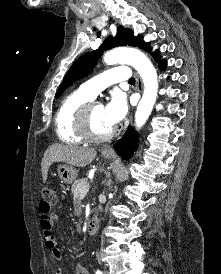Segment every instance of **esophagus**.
Here are the masks:
<instances>
[{"mask_svg":"<svg viewBox=\"0 0 221 274\" xmlns=\"http://www.w3.org/2000/svg\"><path fill=\"white\" fill-rule=\"evenodd\" d=\"M136 81H137V88L138 91L141 92L143 89V84L141 78L136 74ZM103 153H108V154H114V150L111 146L107 145L102 149Z\"/></svg>","mask_w":221,"mask_h":274,"instance_id":"obj_1","label":"esophagus"}]
</instances>
